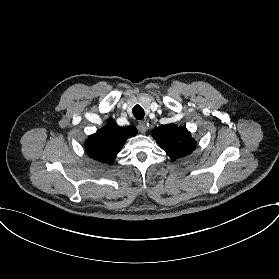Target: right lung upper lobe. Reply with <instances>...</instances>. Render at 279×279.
Returning <instances> with one entry per match:
<instances>
[{"label": "right lung upper lobe", "instance_id": "cb5924a9", "mask_svg": "<svg viewBox=\"0 0 279 279\" xmlns=\"http://www.w3.org/2000/svg\"><path fill=\"white\" fill-rule=\"evenodd\" d=\"M136 133L137 129L134 126L119 127L109 120L106 126L89 136L85 148L91 158L112 163L125 141Z\"/></svg>", "mask_w": 279, "mask_h": 279}]
</instances>
